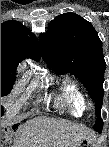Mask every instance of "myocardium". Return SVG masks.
<instances>
[{
    "mask_svg": "<svg viewBox=\"0 0 109 147\" xmlns=\"http://www.w3.org/2000/svg\"><path fill=\"white\" fill-rule=\"evenodd\" d=\"M87 105H88L89 107H91V106H92L91 102H87Z\"/></svg>",
    "mask_w": 109,
    "mask_h": 147,
    "instance_id": "f54148a6",
    "label": "myocardium"
}]
</instances>
